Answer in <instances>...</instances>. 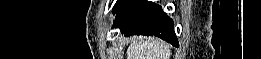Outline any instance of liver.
<instances>
[{"instance_id":"liver-1","label":"liver","mask_w":261,"mask_h":59,"mask_svg":"<svg viewBox=\"0 0 261 59\" xmlns=\"http://www.w3.org/2000/svg\"><path fill=\"white\" fill-rule=\"evenodd\" d=\"M169 44L154 37H134L127 49V59H170Z\"/></svg>"}]
</instances>
